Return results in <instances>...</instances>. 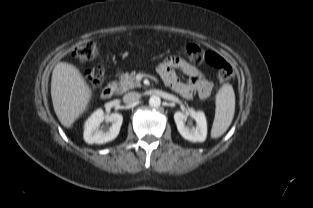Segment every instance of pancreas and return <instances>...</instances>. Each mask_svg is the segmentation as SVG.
<instances>
[{"instance_id": "cf45deb5", "label": "pancreas", "mask_w": 313, "mask_h": 208, "mask_svg": "<svg viewBox=\"0 0 313 208\" xmlns=\"http://www.w3.org/2000/svg\"><path fill=\"white\" fill-rule=\"evenodd\" d=\"M140 86H141L140 82L136 81L135 79V73L131 74L125 73L121 77L117 93L122 94L129 89H133Z\"/></svg>"}]
</instances>
